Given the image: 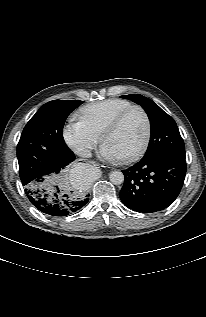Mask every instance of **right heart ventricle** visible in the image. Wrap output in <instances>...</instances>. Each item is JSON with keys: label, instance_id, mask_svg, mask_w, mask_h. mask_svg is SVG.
Returning a JSON list of instances; mask_svg holds the SVG:
<instances>
[{"label": "right heart ventricle", "instance_id": "e07e8e85", "mask_svg": "<svg viewBox=\"0 0 206 317\" xmlns=\"http://www.w3.org/2000/svg\"><path fill=\"white\" fill-rule=\"evenodd\" d=\"M130 106L132 104L126 100L108 99L82 107L78 116L99 137L108 123Z\"/></svg>", "mask_w": 206, "mask_h": 317}]
</instances>
